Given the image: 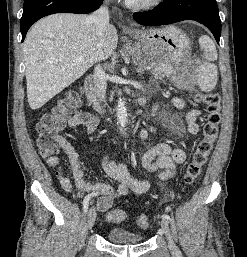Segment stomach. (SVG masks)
I'll list each match as a JSON object with an SVG mask.
<instances>
[{"label": "stomach", "instance_id": "stomach-1", "mask_svg": "<svg viewBox=\"0 0 247 257\" xmlns=\"http://www.w3.org/2000/svg\"><path fill=\"white\" fill-rule=\"evenodd\" d=\"M130 36L136 41L133 58L142 68L154 63L177 64L189 51L186 34L174 26L138 30ZM170 77L177 80L174 69Z\"/></svg>", "mask_w": 247, "mask_h": 257}]
</instances>
